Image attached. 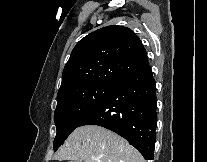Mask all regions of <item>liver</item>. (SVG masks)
Returning <instances> with one entry per match:
<instances>
[{"mask_svg": "<svg viewBox=\"0 0 207 162\" xmlns=\"http://www.w3.org/2000/svg\"><path fill=\"white\" fill-rule=\"evenodd\" d=\"M56 160L70 162H145L124 138L98 126L76 128L56 154Z\"/></svg>", "mask_w": 207, "mask_h": 162, "instance_id": "liver-1", "label": "liver"}]
</instances>
